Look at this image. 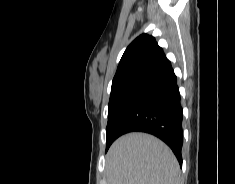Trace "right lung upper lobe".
I'll list each match as a JSON object with an SVG mask.
<instances>
[{"label": "right lung upper lobe", "mask_w": 235, "mask_h": 184, "mask_svg": "<svg viewBox=\"0 0 235 184\" xmlns=\"http://www.w3.org/2000/svg\"><path fill=\"white\" fill-rule=\"evenodd\" d=\"M166 58L155 38L142 34L125 50L112 81L111 91L131 86Z\"/></svg>", "instance_id": "1"}]
</instances>
